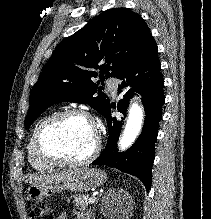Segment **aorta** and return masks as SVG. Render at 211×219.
<instances>
[{
    "label": "aorta",
    "instance_id": "obj_1",
    "mask_svg": "<svg viewBox=\"0 0 211 219\" xmlns=\"http://www.w3.org/2000/svg\"><path fill=\"white\" fill-rule=\"evenodd\" d=\"M142 125L143 109L137 103H133L129 111L124 132L119 140L120 150H126L133 144L142 130Z\"/></svg>",
    "mask_w": 211,
    "mask_h": 219
}]
</instances>
